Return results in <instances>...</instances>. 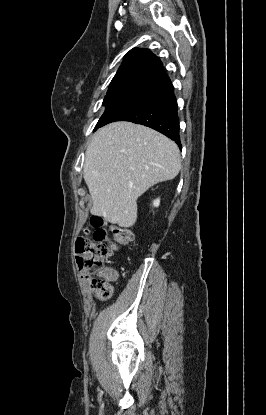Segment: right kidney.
Here are the masks:
<instances>
[{"instance_id": "ca27d5eb", "label": "right kidney", "mask_w": 266, "mask_h": 415, "mask_svg": "<svg viewBox=\"0 0 266 415\" xmlns=\"http://www.w3.org/2000/svg\"><path fill=\"white\" fill-rule=\"evenodd\" d=\"M159 204H160V199L159 198L153 201V206L154 207H158Z\"/></svg>"}]
</instances>
